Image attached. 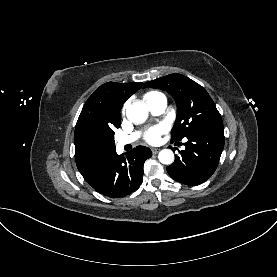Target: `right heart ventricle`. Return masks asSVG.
<instances>
[{"instance_id":"e07e8e85","label":"right heart ventricle","mask_w":277,"mask_h":277,"mask_svg":"<svg viewBox=\"0 0 277 277\" xmlns=\"http://www.w3.org/2000/svg\"><path fill=\"white\" fill-rule=\"evenodd\" d=\"M158 97H163V95L159 92L152 91L145 94L144 99L146 102H149L150 100H153Z\"/></svg>"}]
</instances>
